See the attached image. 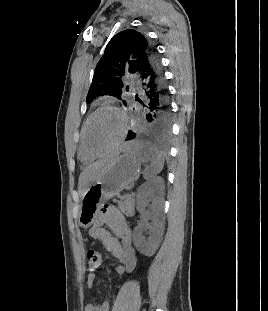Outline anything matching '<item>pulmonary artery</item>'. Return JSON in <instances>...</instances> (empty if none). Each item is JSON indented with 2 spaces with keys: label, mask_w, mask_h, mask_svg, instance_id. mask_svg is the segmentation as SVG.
<instances>
[{
  "label": "pulmonary artery",
  "mask_w": 268,
  "mask_h": 311,
  "mask_svg": "<svg viewBox=\"0 0 268 311\" xmlns=\"http://www.w3.org/2000/svg\"><path fill=\"white\" fill-rule=\"evenodd\" d=\"M132 83H135L134 79H132Z\"/></svg>",
  "instance_id": "1"
}]
</instances>
